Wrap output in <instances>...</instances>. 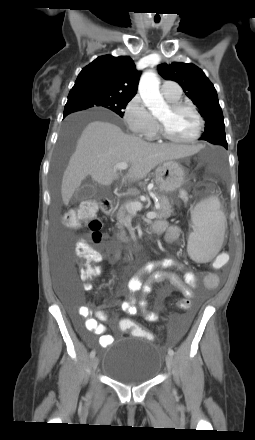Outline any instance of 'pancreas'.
<instances>
[{
    "mask_svg": "<svg viewBox=\"0 0 255 440\" xmlns=\"http://www.w3.org/2000/svg\"><path fill=\"white\" fill-rule=\"evenodd\" d=\"M159 199H160V201H159L160 207L157 210L156 218L157 219H167L173 213L172 205L165 196H160ZM132 202H137V199L129 200L125 204L121 205L120 208L118 209V212L116 215L117 220H118L117 226L120 229V234H118V238L123 242L129 241L128 237H126V233L124 231V226L130 225V222L132 219V214L130 212H128L127 205Z\"/></svg>",
    "mask_w": 255,
    "mask_h": 440,
    "instance_id": "1",
    "label": "pancreas"
}]
</instances>
